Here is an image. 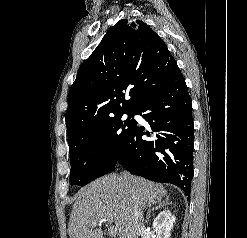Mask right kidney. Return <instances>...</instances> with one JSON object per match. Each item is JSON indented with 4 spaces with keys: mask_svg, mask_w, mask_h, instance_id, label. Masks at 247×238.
I'll list each match as a JSON object with an SVG mask.
<instances>
[{
    "mask_svg": "<svg viewBox=\"0 0 247 238\" xmlns=\"http://www.w3.org/2000/svg\"><path fill=\"white\" fill-rule=\"evenodd\" d=\"M175 220V216H173L169 210L160 212L154 219L152 225L157 234V238H169Z\"/></svg>",
    "mask_w": 247,
    "mask_h": 238,
    "instance_id": "ca27d5eb",
    "label": "right kidney"
}]
</instances>
